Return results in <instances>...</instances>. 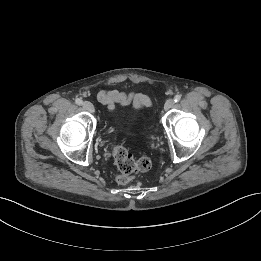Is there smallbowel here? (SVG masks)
Returning a JSON list of instances; mask_svg holds the SVG:
<instances>
[{"label":"small bowel","instance_id":"1","mask_svg":"<svg viewBox=\"0 0 261 261\" xmlns=\"http://www.w3.org/2000/svg\"><path fill=\"white\" fill-rule=\"evenodd\" d=\"M98 100L109 110H113L116 105L132 104L140 108L148 104V98L143 94H127L118 90H102L98 93Z\"/></svg>","mask_w":261,"mask_h":261}]
</instances>
